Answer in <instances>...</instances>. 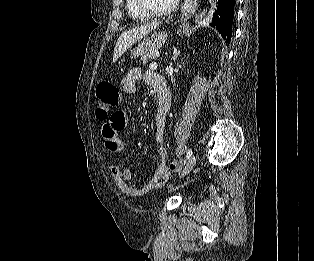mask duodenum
Segmentation results:
<instances>
[{"mask_svg": "<svg viewBox=\"0 0 314 261\" xmlns=\"http://www.w3.org/2000/svg\"><path fill=\"white\" fill-rule=\"evenodd\" d=\"M155 99L160 111L167 112L170 109L171 95L165 79L160 75L157 76L156 80Z\"/></svg>", "mask_w": 314, "mask_h": 261, "instance_id": "410a0bca", "label": "duodenum"}]
</instances>
